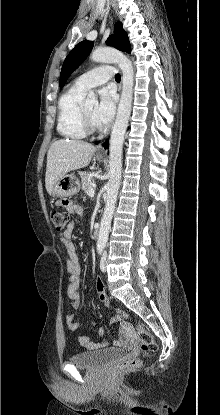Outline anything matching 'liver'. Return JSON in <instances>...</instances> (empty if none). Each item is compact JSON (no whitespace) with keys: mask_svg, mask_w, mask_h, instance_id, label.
I'll return each instance as SVG.
<instances>
[{"mask_svg":"<svg viewBox=\"0 0 220 415\" xmlns=\"http://www.w3.org/2000/svg\"><path fill=\"white\" fill-rule=\"evenodd\" d=\"M96 147L81 140L60 139L51 144L47 153L45 185L51 195L54 185L68 172L89 165Z\"/></svg>","mask_w":220,"mask_h":415,"instance_id":"6515ba94","label":"liver"}]
</instances>
